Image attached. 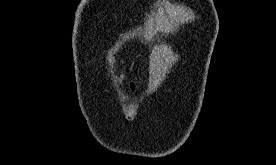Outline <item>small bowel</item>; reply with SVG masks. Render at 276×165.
Returning <instances> with one entry per match:
<instances>
[{"label": "small bowel", "mask_w": 276, "mask_h": 165, "mask_svg": "<svg viewBox=\"0 0 276 165\" xmlns=\"http://www.w3.org/2000/svg\"><path fill=\"white\" fill-rule=\"evenodd\" d=\"M130 89H131V91L133 92V91L135 90V85L132 84V85L130 86Z\"/></svg>", "instance_id": "small-bowel-1"}]
</instances>
